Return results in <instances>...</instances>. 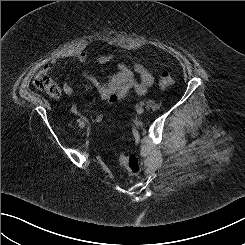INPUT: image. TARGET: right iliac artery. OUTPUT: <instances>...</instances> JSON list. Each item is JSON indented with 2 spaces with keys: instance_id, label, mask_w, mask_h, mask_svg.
Masks as SVG:
<instances>
[{
  "instance_id": "right-iliac-artery-1",
  "label": "right iliac artery",
  "mask_w": 245,
  "mask_h": 245,
  "mask_svg": "<svg viewBox=\"0 0 245 245\" xmlns=\"http://www.w3.org/2000/svg\"><path fill=\"white\" fill-rule=\"evenodd\" d=\"M77 122L79 123V125H81L83 123V121H81V119H78Z\"/></svg>"
}]
</instances>
